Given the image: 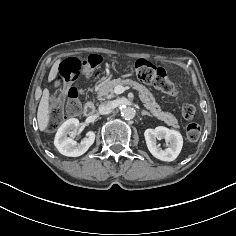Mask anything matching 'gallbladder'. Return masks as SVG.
<instances>
[{"mask_svg":"<svg viewBox=\"0 0 236 236\" xmlns=\"http://www.w3.org/2000/svg\"><path fill=\"white\" fill-rule=\"evenodd\" d=\"M55 86H58V83H55Z\"/></svg>","mask_w":236,"mask_h":236,"instance_id":"bac80fb5","label":"gallbladder"}]
</instances>
